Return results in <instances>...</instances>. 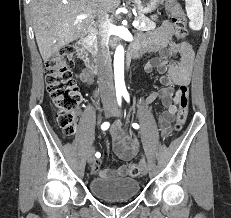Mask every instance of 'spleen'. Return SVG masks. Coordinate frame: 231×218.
I'll return each instance as SVG.
<instances>
[{"instance_id":"3e777b00","label":"spleen","mask_w":231,"mask_h":218,"mask_svg":"<svg viewBox=\"0 0 231 218\" xmlns=\"http://www.w3.org/2000/svg\"><path fill=\"white\" fill-rule=\"evenodd\" d=\"M186 12L190 20L189 27L192 30H200L203 25V7L201 0H185Z\"/></svg>"}]
</instances>
